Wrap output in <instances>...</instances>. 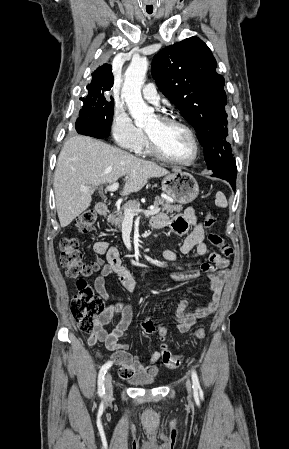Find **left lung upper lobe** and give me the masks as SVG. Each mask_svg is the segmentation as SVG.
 Segmentation results:
<instances>
[{"label": "left lung upper lobe", "instance_id": "obj_1", "mask_svg": "<svg viewBox=\"0 0 289 449\" xmlns=\"http://www.w3.org/2000/svg\"><path fill=\"white\" fill-rule=\"evenodd\" d=\"M209 47L191 37L154 56L151 71L159 89L194 127L212 176L236 177V162L226 141L227 103L223 76Z\"/></svg>", "mask_w": 289, "mask_h": 449}]
</instances>
